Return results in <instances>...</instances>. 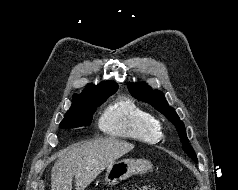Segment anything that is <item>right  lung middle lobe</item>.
Segmentation results:
<instances>
[{"label":"right lung middle lobe","instance_id":"dd1d6c3e","mask_svg":"<svg viewBox=\"0 0 238 190\" xmlns=\"http://www.w3.org/2000/svg\"><path fill=\"white\" fill-rule=\"evenodd\" d=\"M112 93L99 94L84 99L78 107H71L61 121V128H76L81 126H89L96 107L100 106Z\"/></svg>","mask_w":238,"mask_h":190}]
</instances>
